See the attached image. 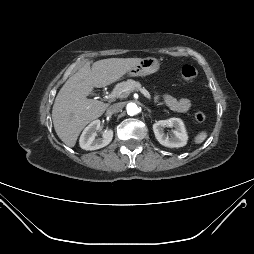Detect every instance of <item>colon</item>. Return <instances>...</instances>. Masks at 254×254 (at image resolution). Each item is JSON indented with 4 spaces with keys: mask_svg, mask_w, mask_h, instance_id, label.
<instances>
[{
    "mask_svg": "<svg viewBox=\"0 0 254 254\" xmlns=\"http://www.w3.org/2000/svg\"><path fill=\"white\" fill-rule=\"evenodd\" d=\"M180 76L182 81L191 82L197 78L198 72L193 66L185 65L181 69ZM194 117L198 122H203L206 119V115L202 111H196Z\"/></svg>",
    "mask_w": 254,
    "mask_h": 254,
    "instance_id": "colon-1",
    "label": "colon"
}]
</instances>
